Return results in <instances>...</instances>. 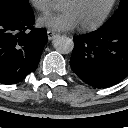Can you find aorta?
<instances>
[{"label": "aorta", "instance_id": "aorta-1", "mask_svg": "<svg viewBox=\"0 0 128 128\" xmlns=\"http://www.w3.org/2000/svg\"><path fill=\"white\" fill-rule=\"evenodd\" d=\"M55 50L61 54H69L74 48L73 40L67 36H58L53 40Z\"/></svg>", "mask_w": 128, "mask_h": 128}]
</instances>
